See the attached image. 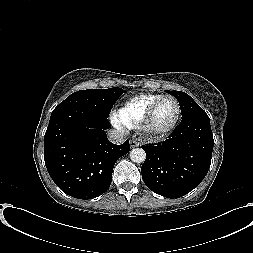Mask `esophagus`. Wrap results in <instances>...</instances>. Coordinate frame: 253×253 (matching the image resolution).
<instances>
[{
    "label": "esophagus",
    "instance_id": "obj_1",
    "mask_svg": "<svg viewBox=\"0 0 253 253\" xmlns=\"http://www.w3.org/2000/svg\"><path fill=\"white\" fill-rule=\"evenodd\" d=\"M138 146H139V143L136 140H134V139L130 140V147L131 148H135V147H138Z\"/></svg>",
    "mask_w": 253,
    "mask_h": 253
}]
</instances>
